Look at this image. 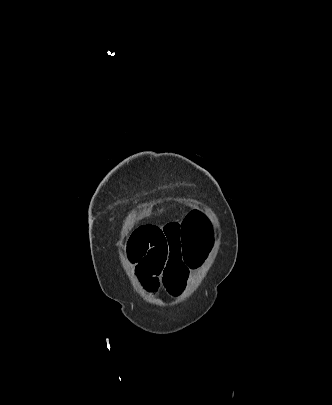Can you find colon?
<instances>
[{
	"label": "colon",
	"instance_id": "1",
	"mask_svg": "<svg viewBox=\"0 0 332 405\" xmlns=\"http://www.w3.org/2000/svg\"><path fill=\"white\" fill-rule=\"evenodd\" d=\"M191 217L193 220H181V262H191L192 268H199L214 246L211 240L213 220H204V211H193Z\"/></svg>",
	"mask_w": 332,
	"mask_h": 405
}]
</instances>
